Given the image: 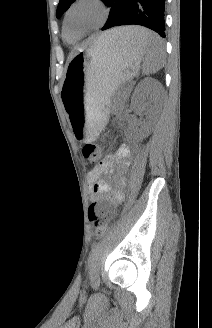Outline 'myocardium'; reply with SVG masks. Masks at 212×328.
<instances>
[{"label": "myocardium", "instance_id": "obj_1", "mask_svg": "<svg viewBox=\"0 0 212 328\" xmlns=\"http://www.w3.org/2000/svg\"><path fill=\"white\" fill-rule=\"evenodd\" d=\"M86 4L93 5V6L97 7L98 9H100L102 16H101L100 21L96 25L86 29L85 32L97 30L105 23V21L109 17L110 8L104 0H74L67 8L65 15H64V31L69 30L70 16H71L72 12L74 11V9H76L77 7H79L81 5H86Z\"/></svg>", "mask_w": 212, "mask_h": 328}]
</instances>
